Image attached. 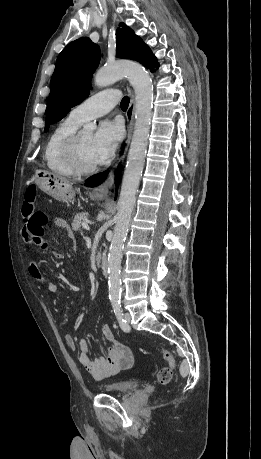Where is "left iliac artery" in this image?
<instances>
[{
	"instance_id": "left-iliac-artery-1",
	"label": "left iliac artery",
	"mask_w": 261,
	"mask_h": 459,
	"mask_svg": "<svg viewBox=\"0 0 261 459\" xmlns=\"http://www.w3.org/2000/svg\"><path fill=\"white\" fill-rule=\"evenodd\" d=\"M112 306H113V309H114V313H115V315L117 317V320L119 322L120 328L124 332H129L130 331V326L128 325V323L124 319L123 309H122L120 300H113L112 301Z\"/></svg>"
}]
</instances>
